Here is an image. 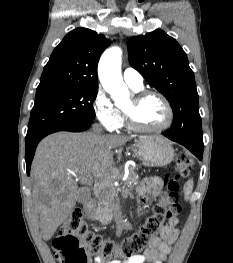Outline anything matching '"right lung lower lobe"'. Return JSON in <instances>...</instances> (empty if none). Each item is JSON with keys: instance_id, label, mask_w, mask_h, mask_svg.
<instances>
[{"instance_id": "1", "label": "right lung lower lobe", "mask_w": 233, "mask_h": 263, "mask_svg": "<svg viewBox=\"0 0 233 263\" xmlns=\"http://www.w3.org/2000/svg\"><path fill=\"white\" fill-rule=\"evenodd\" d=\"M92 124V120L81 121V122H71L58 124L52 127H48L33 136L26 137V151H25V161L27 167V174H30L31 163L35 154L36 147L40 140L45 136L58 132V131H71V132H81L87 130Z\"/></svg>"}]
</instances>
